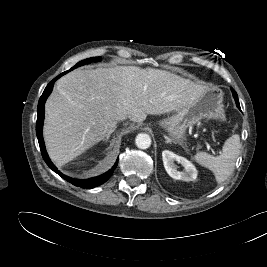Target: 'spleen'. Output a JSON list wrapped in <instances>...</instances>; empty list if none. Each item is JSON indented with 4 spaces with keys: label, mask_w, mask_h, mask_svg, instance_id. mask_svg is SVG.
<instances>
[{
    "label": "spleen",
    "mask_w": 267,
    "mask_h": 267,
    "mask_svg": "<svg viewBox=\"0 0 267 267\" xmlns=\"http://www.w3.org/2000/svg\"><path fill=\"white\" fill-rule=\"evenodd\" d=\"M240 149V138L235 134L225 141L219 156L214 157L206 152H198L194 159L199 165L213 172L217 183H222L233 173Z\"/></svg>",
    "instance_id": "obj_1"
}]
</instances>
